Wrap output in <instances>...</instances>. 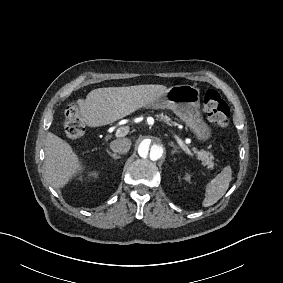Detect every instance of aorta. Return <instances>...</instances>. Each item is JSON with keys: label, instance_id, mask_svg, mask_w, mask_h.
I'll return each mask as SVG.
<instances>
[{"label": "aorta", "instance_id": "762f6f07", "mask_svg": "<svg viewBox=\"0 0 283 283\" xmlns=\"http://www.w3.org/2000/svg\"><path fill=\"white\" fill-rule=\"evenodd\" d=\"M165 140L156 134H147L137 142V152L141 161L153 165L161 162L165 157Z\"/></svg>", "mask_w": 283, "mask_h": 283}]
</instances>
